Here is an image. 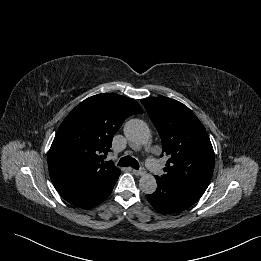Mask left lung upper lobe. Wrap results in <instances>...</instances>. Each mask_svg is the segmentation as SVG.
I'll use <instances>...</instances> for the list:
<instances>
[{"mask_svg": "<svg viewBox=\"0 0 261 261\" xmlns=\"http://www.w3.org/2000/svg\"><path fill=\"white\" fill-rule=\"evenodd\" d=\"M141 103L160 135L163 153L169 156L161 178L205 191L215 159L202 123L187 106L171 98L152 97Z\"/></svg>", "mask_w": 261, "mask_h": 261, "instance_id": "left-lung-upper-lobe-1", "label": "left lung upper lobe"}]
</instances>
